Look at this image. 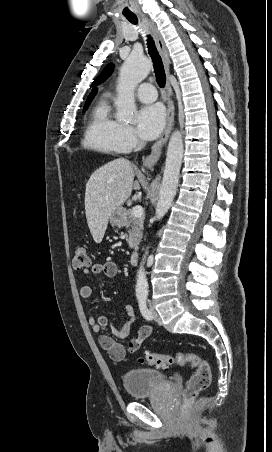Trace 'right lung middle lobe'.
<instances>
[{
	"label": "right lung middle lobe",
	"mask_w": 272,
	"mask_h": 452,
	"mask_svg": "<svg viewBox=\"0 0 272 452\" xmlns=\"http://www.w3.org/2000/svg\"><path fill=\"white\" fill-rule=\"evenodd\" d=\"M88 106H89V103H88V104H85L84 110H86V109L88 108Z\"/></svg>",
	"instance_id": "right-lung-middle-lobe-1"
}]
</instances>
